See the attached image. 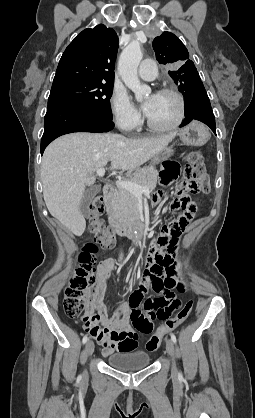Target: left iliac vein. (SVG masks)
I'll return each mask as SVG.
<instances>
[{"label": "left iliac vein", "instance_id": "obj_1", "mask_svg": "<svg viewBox=\"0 0 255 418\" xmlns=\"http://www.w3.org/2000/svg\"><path fill=\"white\" fill-rule=\"evenodd\" d=\"M166 350L172 359V374L176 375V365L174 362V343L171 339H166Z\"/></svg>", "mask_w": 255, "mask_h": 418}]
</instances>
